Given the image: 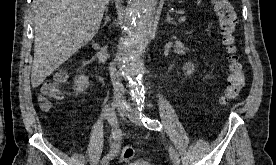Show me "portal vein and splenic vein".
Here are the masks:
<instances>
[{
	"mask_svg": "<svg viewBox=\"0 0 276 165\" xmlns=\"http://www.w3.org/2000/svg\"><path fill=\"white\" fill-rule=\"evenodd\" d=\"M186 20V17L184 16V14L181 15V17L179 18V22H184Z\"/></svg>",
	"mask_w": 276,
	"mask_h": 165,
	"instance_id": "1",
	"label": "portal vein and splenic vein"
}]
</instances>
